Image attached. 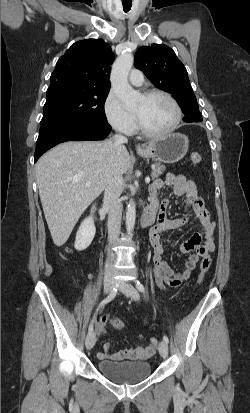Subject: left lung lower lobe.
I'll list each match as a JSON object with an SVG mask.
<instances>
[{
	"label": "left lung lower lobe",
	"instance_id": "0a47b994",
	"mask_svg": "<svg viewBox=\"0 0 250 413\" xmlns=\"http://www.w3.org/2000/svg\"><path fill=\"white\" fill-rule=\"evenodd\" d=\"M183 121H185L186 123L200 122L202 121V116L188 115L183 118Z\"/></svg>",
	"mask_w": 250,
	"mask_h": 413
}]
</instances>
